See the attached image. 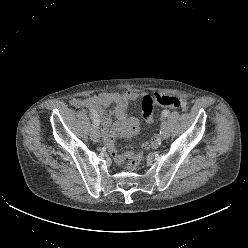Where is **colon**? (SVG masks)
Masks as SVG:
<instances>
[{
  "instance_id": "obj_1",
  "label": "colon",
  "mask_w": 248,
  "mask_h": 248,
  "mask_svg": "<svg viewBox=\"0 0 248 248\" xmlns=\"http://www.w3.org/2000/svg\"><path fill=\"white\" fill-rule=\"evenodd\" d=\"M155 104L173 109H179L182 111H187L189 108L187 101L181 97L169 96V95H155V96L147 95L142 100L141 115L143 119L148 123H151L153 121V107ZM145 148H147L146 144L142 146V149ZM141 159H142L141 151L135 154H127L125 157L127 168L129 170L136 169L140 164Z\"/></svg>"
}]
</instances>
